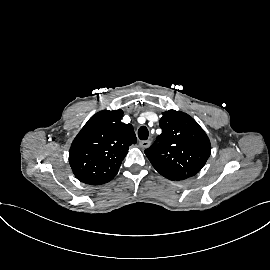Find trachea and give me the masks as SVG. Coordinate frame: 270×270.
<instances>
[{"label":"trachea","mask_w":270,"mask_h":270,"mask_svg":"<svg viewBox=\"0 0 270 270\" xmlns=\"http://www.w3.org/2000/svg\"><path fill=\"white\" fill-rule=\"evenodd\" d=\"M149 136V132L147 127L141 126L138 130V137L140 140H147Z\"/></svg>","instance_id":"trachea-1"}]
</instances>
